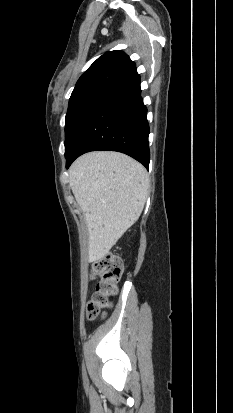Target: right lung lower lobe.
<instances>
[{
    "instance_id": "98d812e1",
    "label": "right lung lower lobe",
    "mask_w": 233,
    "mask_h": 413,
    "mask_svg": "<svg viewBox=\"0 0 233 413\" xmlns=\"http://www.w3.org/2000/svg\"><path fill=\"white\" fill-rule=\"evenodd\" d=\"M136 68L119 77L91 112L66 157V167L83 153L112 150L149 167L147 109Z\"/></svg>"
}]
</instances>
